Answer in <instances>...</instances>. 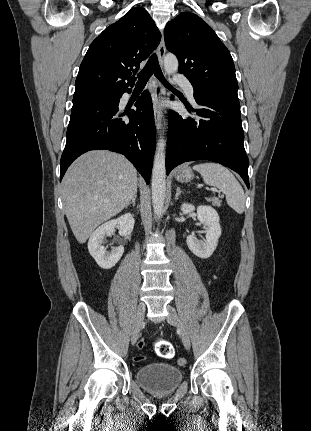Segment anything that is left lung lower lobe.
<instances>
[{
  "instance_id": "1",
  "label": "left lung lower lobe",
  "mask_w": 311,
  "mask_h": 431,
  "mask_svg": "<svg viewBox=\"0 0 311 431\" xmlns=\"http://www.w3.org/2000/svg\"><path fill=\"white\" fill-rule=\"evenodd\" d=\"M194 98L200 108L189 110L202 119H184L176 112L169 113L167 174L186 161L211 160L236 171L249 188V160L237 94L209 93Z\"/></svg>"
}]
</instances>
